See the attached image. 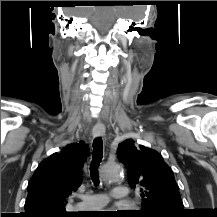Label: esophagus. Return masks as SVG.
Masks as SVG:
<instances>
[{
    "mask_svg": "<svg viewBox=\"0 0 217 217\" xmlns=\"http://www.w3.org/2000/svg\"><path fill=\"white\" fill-rule=\"evenodd\" d=\"M93 137H103L105 135V127L102 124H96L92 130Z\"/></svg>",
    "mask_w": 217,
    "mask_h": 217,
    "instance_id": "34e87169",
    "label": "esophagus"
}]
</instances>
